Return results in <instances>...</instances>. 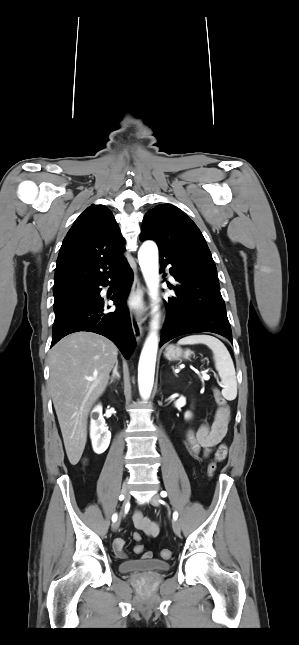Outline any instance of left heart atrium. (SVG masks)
I'll list each match as a JSON object with an SVG mask.
<instances>
[{
    "label": "left heart atrium",
    "instance_id": "left-heart-atrium-1",
    "mask_svg": "<svg viewBox=\"0 0 299 645\" xmlns=\"http://www.w3.org/2000/svg\"><path fill=\"white\" fill-rule=\"evenodd\" d=\"M131 308L140 309L141 308V299L139 297H132L129 301Z\"/></svg>",
    "mask_w": 299,
    "mask_h": 645
}]
</instances>
